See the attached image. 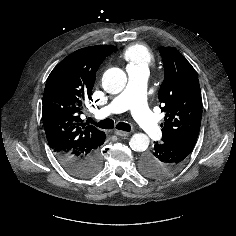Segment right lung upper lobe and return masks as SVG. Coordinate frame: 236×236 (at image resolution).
I'll list each match as a JSON object with an SVG mask.
<instances>
[{"label":"right lung upper lobe","instance_id":"cb5924a9","mask_svg":"<svg viewBox=\"0 0 236 236\" xmlns=\"http://www.w3.org/2000/svg\"><path fill=\"white\" fill-rule=\"evenodd\" d=\"M116 46L97 45L79 49L63 59L50 73L42 116L48 144L58 158H87L98 149L105 133L83 123L85 100L91 98L96 72Z\"/></svg>","mask_w":236,"mask_h":236}]
</instances>
